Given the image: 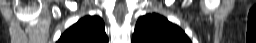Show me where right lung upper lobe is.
I'll list each match as a JSON object with an SVG mask.
<instances>
[{
	"mask_svg": "<svg viewBox=\"0 0 256 43\" xmlns=\"http://www.w3.org/2000/svg\"><path fill=\"white\" fill-rule=\"evenodd\" d=\"M57 43H108L104 22L98 16H86L66 30Z\"/></svg>",
	"mask_w": 256,
	"mask_h": 43,
	"instance_id": "1",
	"label": "right lung upper lobe"
}]
</instances>
